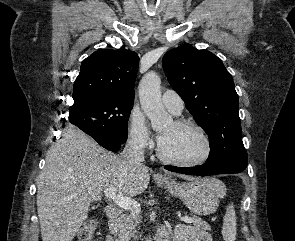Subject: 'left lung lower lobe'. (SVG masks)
<instances>
[{
  "instance_id": "obj_1",
  "label": "left lung lower lobe",
  "mask_w": 295,
  "mask_h": 241,
  "mask_svg": "<svg viewBox=\"0 0 295 241\" xmlns=\"http://www.w3.org/2000/svg\"><path fill=\"white\" fill-rule=\"evenodd\" d=\"M165 169L187 174V175H197V176H207V175H215V174H232V173H241L245 170V168L227 165V164H203L197 167H174L170 165H166Z\"/></svg>"
}]
</instances>
